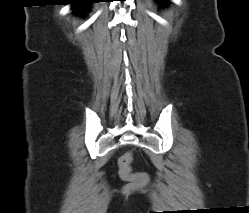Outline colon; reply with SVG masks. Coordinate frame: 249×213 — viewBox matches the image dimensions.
<instances>
[{"mask_svg":"<svg viewBox=\"0 0 249 213\" xmlns=\"http://www.w3.org/2000/svg\"><path fill=\"white\" fill-rule=\"evenodd\" d=\"M132 154L126 153L119 160L120 175L124 179H136L141 180L144 177L143 173H133L131 171Z\"/></svg>","mask_w":249,"mask_h":213,"instance_id":"obj_1","label":"colon"}]
</instances>
